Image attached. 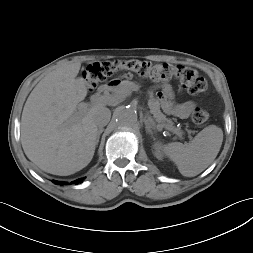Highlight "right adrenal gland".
I'll return each instance as SVG.
<instances>
[{"label": "right adrenal gland", "mask_w": 253, "mask_h": 253, "mask_svg": "<svg viewBox=\"0 0 253 253\" xmlns=\"http://www.w3.org/2000/svg\"><path fill=\"white\" fill-rule=\"evenodd\" d=\"M103 130H104L103 128H99V130H98L96 145H97L98 142H99L100 135L102 134Z\"/></svg>", "instance_id": "1"}]
</instances>
